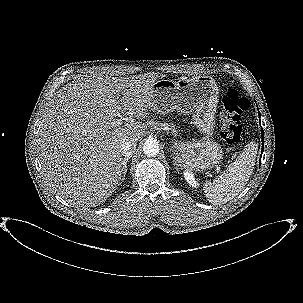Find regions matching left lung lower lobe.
<instances>
[{"instance_id":"0a47b994","label":"left lung lower lobe","mask_w":303,"mask_h":303,"mask_svg":"<svg viewBox=\"0 0 303 303\" xmlns=\"http://www.w3.org/2000/svg\"><path fill=\"white\" fill-rule=\"evenodd\" d=\"M259 117H260V114H259ZM262 139H263V129H262ZM262 152H263V147H262ZM262 156V154H261Z\"/></svg>"}]
</instances>
